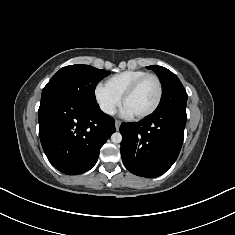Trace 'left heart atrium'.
I'll list each match as a JSON object with an SVG mask.
<instances>
[{
	"instance_id": "1",
	"label": "left heart atrium",
	"mask_w": 235,
	"mask_h": 235,
	"mask_svg": "<svg viewBox=\"0 0 235 235\" xmlns=\"http://www.w3.org/2000/svg\"><path fill=\"white\" fill-rule=\"evenodd\" d=\"M121 115L123 117H132V114L125 107L121 109Z\"/></svg>"
}]
</instances>
